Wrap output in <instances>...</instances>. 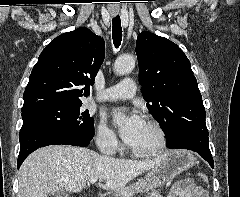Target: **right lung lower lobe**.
Segmentation results:
<instances>
[{"instance_id":"right-lung-lower-lobe-1","label":"right lung lower lobe","mask_w":240,"mask_h":197,"mask_svg":"<svg viewBox=\"0 0 240 197\" xmlns=\"http://www.w3.org/2000/svg\"><path fill=\"white\" fill-rule=\"evenodd\" d=\"M20 152L17 166L38 148L48 145L87 146L92 139H83L71 130L43 121H23L19 134Z\"/></svg>"}]
</instances>
